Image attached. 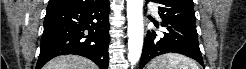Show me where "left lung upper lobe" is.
I'll use <instances>...</instances> for the list:
<instances>
[{"label":"left lung upper lobe","mask_w":246,"mask_h":69,"mask_svg":"<svg viewBox=\"0 0 246 69\" xmlns=\"http://www.w3.org/2000/svg\"><path fill=\"white\" fill-rule=\"evenodd\" d=\"M160 4L159 15L173 23L196 27V17L192 0H148Z\"/></svg>","instance_id":"obj_1"}]
</instances>
